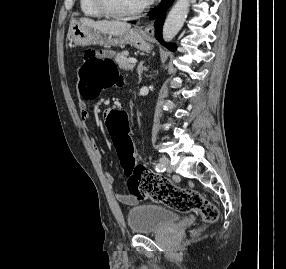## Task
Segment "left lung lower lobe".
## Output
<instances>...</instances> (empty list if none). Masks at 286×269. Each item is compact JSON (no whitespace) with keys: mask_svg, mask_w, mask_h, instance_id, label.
<instances>
[{"mask_svg":"<svg viewBox=\"0 0 286 269\" xmlns=\"http://www.w3.org/2000/svg\"><path fill=\"white\" fill-rule=\"evenodd\" d=\"M172 2H173V0H162L161 4L157 7H155L154 10L151 11V15H150V17L153 19L157 18V20L155 22V29H156L155 37L163 45H165V44H164L163 39H162V25H163V22L165 19L166 9L171 5ZM165 3H166V5H165ZM132 23H135V22H132ZM167 47L172 51H174L176 49L175 45H167Z\"/></svg>","mask_w":286,"mask_h":269,"instance_id":"obj_1","label":"left lung lower lobe"}]
</instances>
